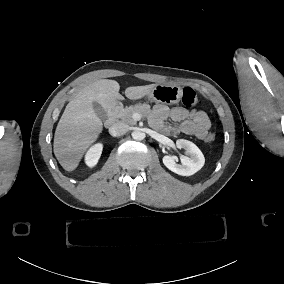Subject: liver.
Returning <instances> with one entry per match:
<instances>
[{"mask_svg":"<svg viewBox=\"0 0 284 284\" xmlns=\"http://www.w3.org/2000/svg\"><path fill=\"white\" fill-rule=\"evenodd\" d=\"M156 84L128 87L125 95L136 100L149 95ZM119 83L101 79L83 86L67 104L54 136V154L66 171H73L86 149L98 138L103 124L96 115L93 102L108 110L123 100Z\"/></svg>","mask_w":284,"mask_h":284,"instance_id":"liver-1","label":"liver"}]
</instances>
